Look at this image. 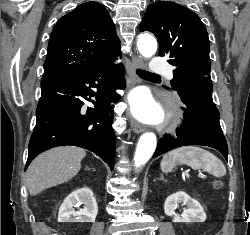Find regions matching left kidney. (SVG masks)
I'll return each mask as SVG.
<instances>
[{
	"label": "left kidney",
	"mask_w": 250,
	"mask_h": 235,
	"mask_svg": "<svg viewBox=\"0 0 250 235\" xmlns=\"http://www.w3.org/2000/svg\"><path fill=\"white\" fill-rule=\"evenodd\" d=\"M179 203L187 205L181 216L175 215V210ZM164 211L167 216H174V222H204L206 214L200 203L191 198L185 192L179 191L167 197L164 204Z\"/></svg>",
	"instance_id": "1"
}]
</instances>
